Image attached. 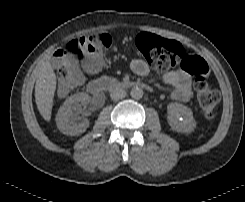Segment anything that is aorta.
<instances>
[{
    "mask_svg": "<svg viewBox=\"0 0 245 202\" xmlns=\"http://www.w3.org/2000/svg\"><path fill=\"white\" fill-rule=\"evenodd\" d=\"M143 90L140 87H133L130 91V95L133 99L139 100L143 97Z\"/></svg>",
    "mask_w": 245,
    "mask_h": 202,
    "instance_id": "762f6f07",
    "label": "aorta"
}]
</instances>
